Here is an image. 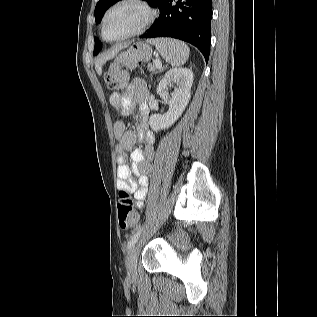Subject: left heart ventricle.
I'll use <instances>...</instances> for the list:
<instances>
[{
    "instance_id": "left-heart-ventricle-1",
    "label": "left heart ventricle",
    "mask_w": 317,
    "mask_h": 317,
    "mask_svg": "<svg viewBox=\"0 0 317 317\" xmlns=\"http://www.w3.org/2000/svg\"><path fill=\"white\" fill-rule=\"evenodd\" d=\"M144 11L132 4L121 5L108 16L105 23V36L115 39L137 28L144 20Z\"/></svg>"
}]
</instances>
